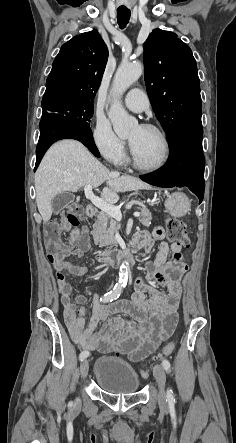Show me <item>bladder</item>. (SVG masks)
<instances>
[{
  "instance_id": "bladder-1",
  "label": "bladder",
  "mask_w": 236,
  "mask_h": 443,
  "mask_svg": "<svg viewBox=\"0 0 236 443\" xmlns=\"http://www.w3.org/2000/svg\"><path fill=\"white\" fill-rule=\"evenodd\" d=\"M98 386L111 394H133L140 386L135 369L113 356L100 358L94 369Z\"/></svg>"
}]
</instances>
